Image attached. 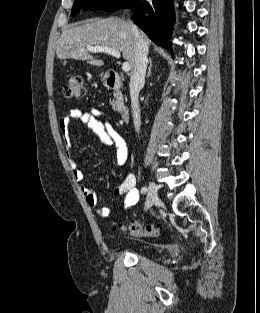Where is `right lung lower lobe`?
<instances>
[{
	"mask_svg": "<svg viewBox=\"0 0 260 313\" xmlns=\"http://www.w3.org/2000/svg\"><path fill=\"white\" fill-rule=\"evenodd\" d=\"M120 8H129L132 19L157 45L171 50L170 35L175 19L173 0H126ZM116 9V10H118Z\"/></svg>",
	"mask_w": 260,
	"mask_h": 313,
	"instance_id": "98d812e1",
	"label": "right lung lower lobe"
}]
</instances>
